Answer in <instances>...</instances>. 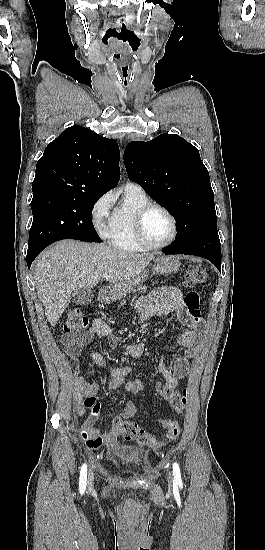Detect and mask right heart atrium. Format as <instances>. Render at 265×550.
Wrapping results in <instances>:
<instances>
[{
  "label": "right heart atrium",
  "mask_w": 265,
  "mask_h": 550,
  "mask_svg": "<svg viewBox=\"0 0 265 550\" xmlns=\"http://www.w3.org/2000/svg\"><path fill=\"white\" fill-rule=\"evenodd\" d=\"M113 204V195L107 192L101 195L91 209L92 223L96 231L105 237L109 223V212Z\"/></svg>",
  "instance_id": "right-heart-atrium-1"
}]
</instances>
